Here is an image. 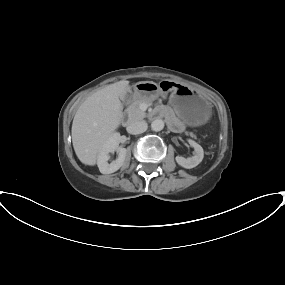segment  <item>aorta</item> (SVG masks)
Masks as SVG:
<instances>
[{
	"mask_svg": "<svg viewBox=\"0 0 285 285\" xmlns=\"http://www.w3.org/2000/svg\"><path fill=\"white\" fill-rule=\"evenodd\" d=\"M164 128V121L161 119H156L154 121H152L151 123V129L153 131H161Z\"/></svg>",
	"mask_w": 285,
	"mask_h": 285,
	"instance_id": "aorta-1",
	"label": "aorta"
}]
</instances>
